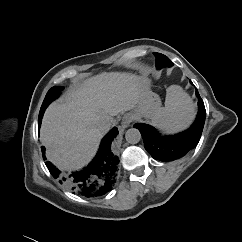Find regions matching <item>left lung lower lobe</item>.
<instances>
[{"label": "left lung lower lobe", "instance_id": "0a47b994", "mask_svg": "<svg viewBox=\"0 0 242 242\" xmlns=\"http://www.w3.org/2000/svg\"><path fill=\"white\" fill-rule=\"evenodd\" d=\"M196 95L199 108L196 121L189 129L179 134L163 137L158 135L159 133L150 125L142 123L134 125L141 132L145 149L154 159L164 162L180 159L198 144L206 113L198 91Z\"/></svg>", "mask_w": 242, "mask_h": 242}]
</instances>
